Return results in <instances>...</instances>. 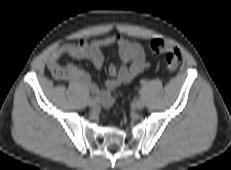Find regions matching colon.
<instances>
[{
	"mask_svg": "<svg viewBox=\"0 0 231 170\" xmlns=\"http://www.w3.org/2000/svg\"><path fill=\"white\" fill-rule=\"evenodd\" d=\"M148 51L156 54H162L165 57L167 68L170 72H175L181 61L179 49L162 39H152L147 44ZM77 70L74 66L57 65L52 69L54 77L59 80H66Z\"/></svg>",
	"mask_w": 231,
	"mask_h": 170,
	"instance_id": "obj_1",
	"label": "colon"
}]
</instances>
